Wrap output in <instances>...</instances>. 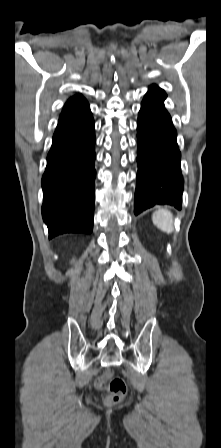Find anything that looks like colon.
Masks as SVG:
<instances>
[{
	"instance_id": "colon-1",
	"label": "colon",
	"mask_w": 221,
	"mask_h": 448,
	"mask_svg": "<svg viewBox=\"0 0 221 448\" xmlns=\"http://www.w3.org/2000/svg\"><path fill=\"white\" fill-rule=\"evenodd\" d=\"M97 387L108 391L106 402L109 405L119 403L126 394V383L121 377H112L111 372H106L97 380Z\"/></svg>"
}]
</instances>
